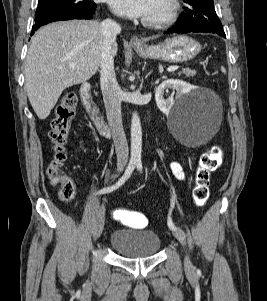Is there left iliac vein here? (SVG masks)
Instances as JSON below:
<instances>
[{
  "label": "left iliac vein",
  "mask_w": 267,
  "mask_h": 301,
  "mask_svg": "<svg viewBox=\"0 0 267 301\" xmlns=\"http://www.w3.org/2000/svg\"><path fill=\"white\" fill-rule=\"evenodd\" d=\"M171 230H172V233L175 236V238L182 245H185L186 244V238H185L184 232L178 227H175L174 229H171ZM184 264H185V268H186L187 271L192 272L194 270V266H193V264H192V262H191L188 255L185 256Z\"/></svg>",
  "instance_id": "left-iliac-vein-1"
}]
</instances>
